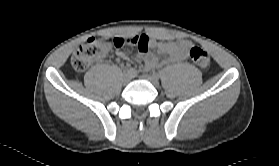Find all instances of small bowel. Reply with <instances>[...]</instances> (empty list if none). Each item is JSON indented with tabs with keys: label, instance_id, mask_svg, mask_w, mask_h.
Here are the masks:
<instances>
[{
	"label": "small bowel",
	"instance_id": "c3829d8e",
	"mask_svg": "<svg viewBox=\"0 0 279 166\" xmlns=\"http://www.w3.org/2000/svg\"><path fill=\"white\" fill-rule=\"evenodd\" d=\"M128 39H137L138 43H132L138 46L137 60L143 61L147 70H152L161 67L167 63L178 62L187 58L192 43L189 40L181 39L178 41H158L150 38L147 35H135ZM144 40L143 44L139 40ZM152 51L159 54H164L167 59L160 60ZM116 56L121 60H127V55L121 51H116Z\"/></svg>",
	"mask_w": 279,
	"mask_h": 166
}]
</instances>
